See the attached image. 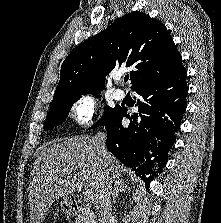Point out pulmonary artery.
I'll return each mask as SVG.
<instances>
[{
	"mask_svg": "<svg viewBox=\"0 0 221 223\" xmlns=\"http://www.w3.org/2000/svg\"><path fill=\"white\" fill-rule=\"evenodd\" d=\"M115 79L118 82H121L122 81V78L120 76H116ZM114 97L117 100L123 99L125 97V91L123 89H121V88L115 89V91H114Z\"/></svg>",
	"mask_w": 221,
	"mask_h": 223,
	"instance_id": "obj_1",
	"label": "pulmonary artery"
}]
</instances>
